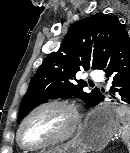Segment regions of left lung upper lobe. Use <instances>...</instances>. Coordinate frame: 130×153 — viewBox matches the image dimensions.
Segmentation results:
<instances>
[{
	"mask_svg": "<svg viewBox=\"0 0 130 153\" xmlns=\"http://www.w3.org/2000/svg\"><path fill=\"white\" fill-rule=\"evenodd\" d=\"M125 30L113 16L95 14L74 23L59 50L45 58L30 81L20 105L17 122L39 104L53 98L77 96L93 106L101 92L98 88L85 93L87 86L77 80L81 70L101 69L109 49Z\"/></svg>",
	"mask_w": 130,
	"mask_h": 153,
	"instance_id": "left-lung-upper-lobe-1",
	"label": "left lung upper lobe"
}]
</instances>
